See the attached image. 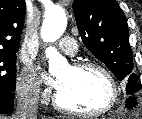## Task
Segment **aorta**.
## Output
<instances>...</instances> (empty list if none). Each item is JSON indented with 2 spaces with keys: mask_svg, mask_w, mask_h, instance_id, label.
<instances>
[{
  "mask_svg": "<svg viewBox=\"0 0 142 119\" xmlns=\"http://www.w3.org/2000/svg\"><path fill=\"white\" fill-rule=\"evenodd\" d=\"M67 19L65 10L55 6L45 13V19L41 26V38L44 42H54L59 39L66 29ZM49 59V72L55 74L58 70L67 65L66 59L60 55L54 47L45 51Z\"/></svg>",
  "mask_w": 142,
  "mask_h": 119,
  "instance_id": "aorta-1",
  "label": "aorta"
}]
</instances>
